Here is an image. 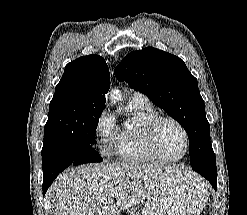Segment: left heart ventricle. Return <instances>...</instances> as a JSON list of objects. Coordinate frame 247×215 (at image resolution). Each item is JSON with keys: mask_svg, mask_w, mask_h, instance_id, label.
Segmentation results:
<instances>
[{"mask_svg": "<svg viewBox=\"0 0 247 215\" xmlns=\"http://www.w3.org/2000/svg\"><path fill=\"white\" fill-rule=\"evenodd\" d=\"M159 150L168 157H179L185 149V140L181 130L171 122H164L157 132Z\"/></svg>", "mask_w": 247, "mask_h": 215, "instance_id": "obj_1", "label": "left heart ventricle"}]
</instances>
